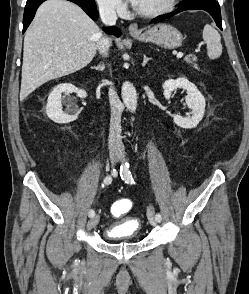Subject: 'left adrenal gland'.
<instances>
[{
  "label": "left adrenal gland",
  "instance_id": "a2214340",
  "mask_svg": "<svg viewBox=\"0 0 249 294\" xmlns=\"http://www.w3.org/2000/svg\"><path fill=\"white\" fill-rule=\"evenodd\" d=\"M150 59H151V58H148V57L146 56V54H144V55H143V63H142V67H144Z\"/></svg>",
  "mask_w": 249,
  "mask_h": 294
}]
</instances>
